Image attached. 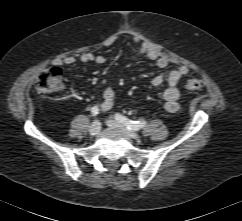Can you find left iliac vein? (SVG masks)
I'll use <instances>...</instances> for the list:
<instances>
[{"label": "left iliac vein", "instance_id": "obj_1", "mask_svg": "<svg viewBox=\"0 0 242 221\" xmlns=\"http://www.w3.org/2000/svg\"><path fill=\"white\" fill-rule=\"evenodd\" d=\"M108 126L112 128H116L118 130H121L124 132L127 136H129L132 139L139 140L140 136L133 130L128 129L125 125L115 121V120H107Z\"/></svg>", "mask_w": 242, "mask_h": 221}]
</instances>
